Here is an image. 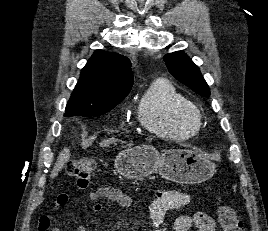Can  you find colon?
<instances>
[{
  "label": "colon",
  "instance_id": "obj_1",
  "mask_svg": "<svg viewBox=\"0 0 268 231\" xmlns=\"http://www.w3.org/2000/svg\"><path fill=\"white\" fill-rule=\"evenodd\" d=\"M95 168V162L89 158H79L67 165V172L77 185L86 186ZM65 200V197L63 198ZM218 222L222 231H244L243 223L237 218L234 210L222 205L218 209Z\"/></svg>",
  "mask_w": 268,
  "mask_h": 231
}]
</instances>
